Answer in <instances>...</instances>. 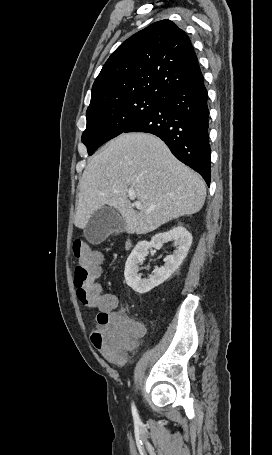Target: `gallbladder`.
I'll return each mask as SVG.
<instances>
[{
    "label": "gallbladder",
    "instance_id": "obj_1",
    "mask_svg": "<svg viewBox=\"0 0 272 455\" xmlns=\"http://www.w3.org/2000/svg\"><path fill=\"white\" fill-rule=\"evenodd\" d=\"M124 225V220L113 208L103 206L92 214L84 228V236L91 244H99L109 235L122 232Z\"/></svg>",
    "mask_w": 272,
    "mask_h": 455
}]
</instances>
